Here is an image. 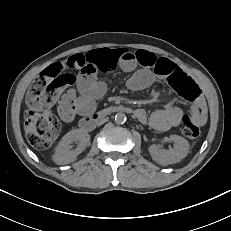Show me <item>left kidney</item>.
<instances>
[{"mask_svg": "<svg viewBox=\"0 0 231 231\" xmlns=\"http://www.w3.org/2000/svg\"><path fill=\"white\" fill-rule=\"evenodd\" d=\"M170 139L174 142L173 149L161 150L156 145L148 148L152 159L161 165L177 163L188 155L190 146L185 138L171 135Z\"/></svg>", "mask_w": 231, "mask_h": 231, "instance_id": "obj_1", "label": "left kidney"}]
</instances>
